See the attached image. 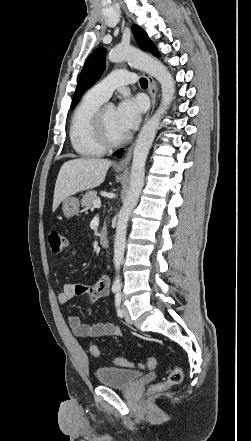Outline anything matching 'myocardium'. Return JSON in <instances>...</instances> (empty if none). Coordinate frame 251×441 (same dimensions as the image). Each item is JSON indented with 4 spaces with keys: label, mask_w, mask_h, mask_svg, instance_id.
Returning <instances> with one entry per match:
<instances>
[{
    "label": "myocardium",
    "mask_w": 251,
    "mask_h": 441,
    "mask_svg": "<svg viewBox=\"0 0 251 441\" xmlns=\"http://www.w3.org/2000/svg\"><path fill=\"white\" fill-rule=\"evenodd\" d=\"M105 108L106 107H100L98 109L94 117L93 126H94L95 136L99 141V143L105 149H111L124 144L128 140L129 136L125 134L124 136L118 139H113L109 136L104 121Z\"/></svg>",
    "instance_id": "f54148a6"
}]
</instances>
